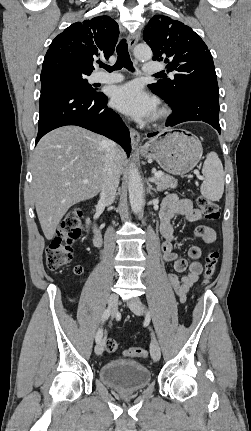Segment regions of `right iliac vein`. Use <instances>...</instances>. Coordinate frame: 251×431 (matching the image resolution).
Returning <instances> with one entry per match:
<instances>
[{
	"label": "right iliac vein",
	"instance_id": "1",
	"mask_svg": "<svg viewBox=\"0 0 251 431\" xmlns=\"http://www.w3.org/2000/svg\"><path fill=\"white\" fill-rule=\"evenodd\" d=\"M118 305V296L115 293H112L108 298V308L111 310L112 314L114 313L116 307ZM104 344L105 340L102 339L99 342H97L95 346V353L97 355H101L104 351Z\"/></svg>",
	"mask_w": 251,
	"mask_h": 431
}]
</instances>
